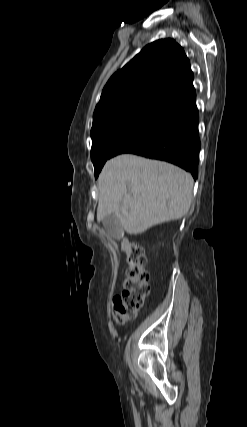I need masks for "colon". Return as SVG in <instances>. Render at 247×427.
<instances>
[{
    "label": "colon",
    "instance_id": "colon-1",
    "mask_svg": "<svg viewBox=\"0 0 247 427\" xmlns=\"http://www.w3.org/2000/svg\"><path fill=\"white\" fill-rule=\"evenodd\" d=\"M121 249L126 255L128 268L123 291L113 299L114 318L118 323L133 319L149 293V274L145 269L146 257L142 246L123 239Z\"/></svg>",
    "mask_w": 247,
    "mask_h": 427
}]
</instances>
